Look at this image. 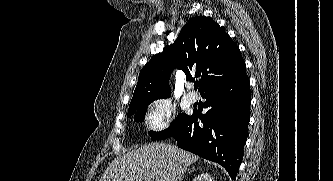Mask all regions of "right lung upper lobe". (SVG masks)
I'll use <instances>...</instances> for the list:
<instances>
[{
	"label": "right lung upper lobe",
	"instance_id": "obj_1",
	"mask_svg": "<svg viewBox=\"0 0 333 181\" xmlns=\"http://www.w3.org/2000/svg\"><path fill=\"white\" fill-rule=\"evenodd\" d=\"M176 67L190 81L192 75L201 76V94L246 75L245 62L232 38L209 18L194 17L173 44L152 56L142 68L129 109L145 101L170 97L168 81Z\"/></svg>",
	"mask_w": 333,
	"mask_h": 181
}]
</instances>
